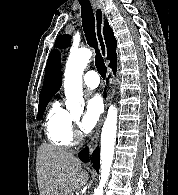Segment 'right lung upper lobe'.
<instances>
[{"mask_svg": "<svg viewBox=\"0 0 178 195\" xmlns=\"http://www.w3.org/2000/svg\"><path fill=\"white\" fill-rule=\"evenodd\" d=\"M104 37L108 51L107 59L110 60L109 66H111L116 63L117 41L114 37L113 30L107 21L104 22ZM61 84L62 74L60 53L57 50H53L47 61L44 83L39 95V105L48 103L58 92Z\"/></svg>", "mask_w": 178, "mask_h": 195, "instance_id": "cb5924a9", "label": "right lung upper lobe"}]
</instances>
